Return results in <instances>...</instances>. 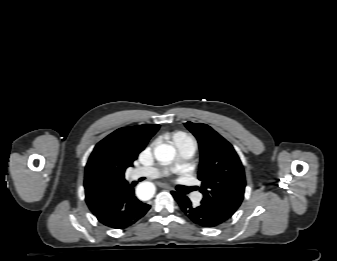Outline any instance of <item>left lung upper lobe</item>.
I'll return each mask as SVG.
<instances>
[{
  "label": "left lung upper lobe",
  "mask_w": 337,
  "mask_h": 261,
  "mask_svg": "<svg viewBox=\"0 0 337 261\" xmlns=\"http://www.w3.org/2000/svg\"><path fill=\"white\" fill-rule=\"evenodd\" d=\"M185 126L199 143L201 204L229 219L244 198L246 181L242 163L232 145L208 125L187 122Z\"/></svg>",
  "instance_id": "1"
}]
</instances>
